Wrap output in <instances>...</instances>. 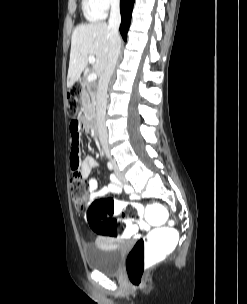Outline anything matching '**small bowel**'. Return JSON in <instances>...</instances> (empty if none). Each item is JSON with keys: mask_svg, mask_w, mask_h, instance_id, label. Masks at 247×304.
<instances>
[{"mask_svg": "<svg viewBox=\"0 0 247 304\" xmlns=\"http://www.w3.org/2000/svg\"><path fill=\"white\" fill-rule=\"evenodd\" d=\"M71 119H80V112H71ZM68 126L70 127V143L69 152L71 155L69 156V163L71 166V170L73 175L76 174L82 179H88L87 181V190L89 192V200L93 201L95 199L106 196L107 194L120 193L122 190H125L131 197V199H137V194L133 191L131 187H124L121 183H119L116 178L110 176V183L99 189L98 182L95 178H89L93 169L98 166V161L92 156H88L85 159L82 158V149H79L80 141L82 138V129L88 130L87 123L84 120H69ZM132 228L136 230H147L149 228L148 225H145L144 221L140 220L136 223V225H132ZM129 235L125 236L128 237Z\"/></svg>", "mask_w": 247, "mask_h": 304, "instance_id": "c3829d8e", "label": "small bowel"}]
</instances>
